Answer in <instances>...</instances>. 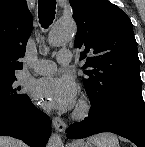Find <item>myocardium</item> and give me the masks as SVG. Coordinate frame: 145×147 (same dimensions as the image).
I'll return each instance as SVG.
<instances>
[{
	"mask_svg": "<svg viewBox=\"0 0 145 147\" xmlns=\"http://www.w3.org/2000/svg\"><path fill=\"white\" fill-rule=\"evenodd\" d=\"M91 108L92 106L89 100L86 98L80 99L73 114L74 118L77 120L85 119L90 114Z\"/></svg>",
	"mask_w": 145,
	"mask_h": 147,
	"instance_id": "myocardium-1",
	"label": "myocardium"
}]
</instances>
